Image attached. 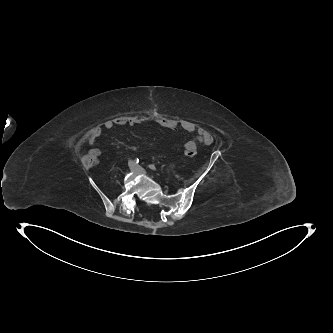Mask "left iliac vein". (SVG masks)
Segmentation results:
<instances>
[{"label":"left iliac vein","mask_w":333,"mask_h":333,"mask_svg":"<svg viewBox=\"0 0 333 333\" xmlns=\"http://www.w3.org/2000/svg\"><path fill=\"white\" fill-rule=\"evenodd\" d=\"M135 170L140 174L148 175L147 171L144 168H142L141 166H136Z\"/></svg>","instance_id":"obj_1"}]
</instances>
